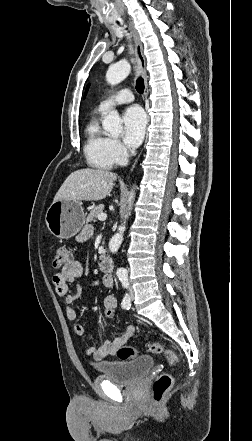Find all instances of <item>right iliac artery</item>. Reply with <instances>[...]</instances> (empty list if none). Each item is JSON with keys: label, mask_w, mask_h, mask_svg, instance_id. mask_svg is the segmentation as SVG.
Segmentation results:
<instances>
[{"label": "right iliac artery", "mask_w": 252, "mask_h": 441, "mask_svg": "<svg viewBox=\"0 0 252 441\" xmlns=\"http://www.w3.org/2000/svg\"><path fill=\"white\" fill-rule=\"evenodd\" d=\"M120 280L122 282L123 287L124 288H128V285H129L128 280L125 279V278H120ZM121 305H122V307L124 309L128 310L130 308V306H131V298H130V296L128 294H126L125 297L123 298Z\"/></svg>", "instance_id": "right-iliac-artery-1"}]
</instances>
